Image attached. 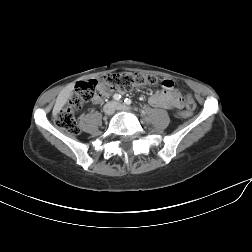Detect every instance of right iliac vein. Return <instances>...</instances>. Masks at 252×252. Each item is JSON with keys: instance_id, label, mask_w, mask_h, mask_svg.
<instances>
[{"instance_id": "obj_1", "label": "right iliac vein", "mask_w": 252, "mask_h": 252, "mask_svg": "<svg viewBox=\"0 0 252 252\" xmlns=\"http://www.w3.org/2000/svg\"><path fill=\"white\" fill-rule=\"evenodd\" d=\"M115 108H116V104L114 102H110V103L106 104L103 109L104 114L107 116L112 115L113 112L115 111Z\"/></svg>"}]
</instances>
